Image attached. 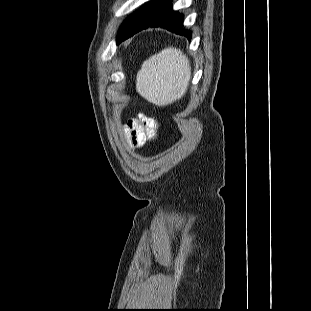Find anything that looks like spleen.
<instances>
[{
	"instance_id": "spleen-1",
	"label": "spleen",
	"mask_w": 311,
	"mask_h": 311,
	"mask_svg": "<svg viewBox=\"0 0 311 311\" xmlns=\"http://www.w3.org/2000/svg\"><path fill=\"white\" fill-rule=\"evenodd\" d=\"M191 78L188 58L168 47L145 60L136 76V91L147 101L165 106L179 100Z\"/></svg>"
}]
</instances>
